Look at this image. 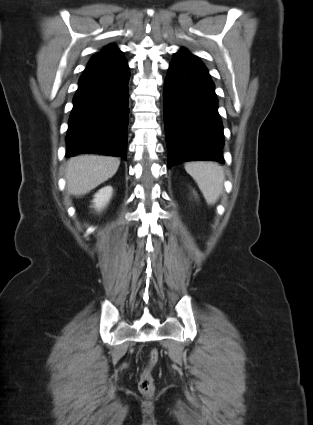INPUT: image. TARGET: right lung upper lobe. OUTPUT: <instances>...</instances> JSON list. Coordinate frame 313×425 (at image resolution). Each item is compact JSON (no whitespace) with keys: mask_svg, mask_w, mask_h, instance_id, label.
Here are the masks:
<instances>
[{"mask_svg":"<svg viewBox=\"0 0 313 425\" xmlns=\"http://www.w3.org/2000/svg\"><path fill=\"white\" fill-rule=\"evenodd\" d=\"M97 55H107V56H123L122 52L113 44L107 45L100 53Z\"/></svg>","mask_w":313,"mask_h":425,"instance_id":"obj_1","label":"right lung upper lobe"}]
</instances>
